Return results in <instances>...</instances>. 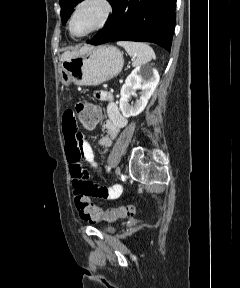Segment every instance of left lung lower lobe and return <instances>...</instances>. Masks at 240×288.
Masks as SVG:
<instances>
[{
  "instance_id": "left-lung-lower-lobe-1",
  "label": "left lung lower lobe",
  "mask_w": 240,
  "mask_h": 288,
  "mask_svg": "<svg viewBox=\"0 0 240 288\" xmlns=\"http://www.w3.org/2000/svg\"><path fill=\"white\" fill-rule=\"evenodd\" d=\"M113 14L88 44L117 40L153 42L171 49L176 0H113Z\"/></svg>"
}]
</instances>
